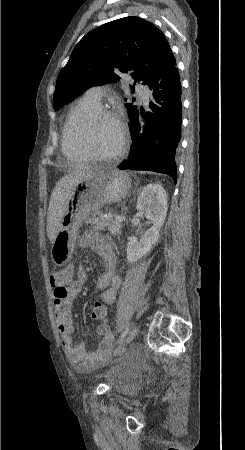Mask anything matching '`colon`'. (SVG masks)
Here are the masks:
<instances>
[{
	"instance_id": "1",
	"label": "colon",
	"mask_w": 245,
	"mask_h": 450,
	"mask_svg": "<svg viewBox=\"0 0 245 450\" xmlns=\"http://www.w3.org/2000/svg\"><path fill=\"white\" fill-rule=\"evenodd\" d=\"M62 291L64 292V286L61 284ZM90 316L92 320L99 322V323H105L108 320V312L106 306L101 302H95L92 305Z\"/></svg>"
}]
</instances>
